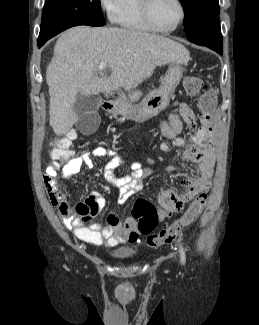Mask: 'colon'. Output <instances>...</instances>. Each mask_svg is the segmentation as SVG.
<instances>
[{"mask_svg":"<svg viewBox=\"0 0 259 325\" xmlns=\"http://www.w3.org/2000/svg\"><path fill=\"white\" fill-rule=\"evenodd\" d=\"M183 88L189 96L199 100V107L202 110V126L205 130L209 131L212 115L216 109V98L214 93L207 87L202 79L195 76L185 77L183 79ZM74 139V132H69L64 136L54 138L52 141V155L56 159H61L66 156L70 152V146ZM163 147L166 149L168 146L165 144ZM59 187L60 181L54 178L46 184L50 200H57L61 197L62 194L59 191ZM206 203V194H199L180 218L167 228L155 234L150 233L156 227L159 217L157 209L150 201L142 198L137 199L133 206L132 216L137 222L138 232L143 235H148L147 245L151 248H158L173 242L181 231L188 227L198 217Z\"/></svg>","mask_w":259,"mask_h":325,"instance_id":"colon-1","label":"colon"}]
</instances>
